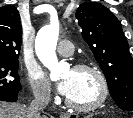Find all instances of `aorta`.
<instances>
[{
  "label": "aorta",
  "mask_w": 133,
  "mask_h": 118,
  "mask_svg": "<svg viewBox=\"0 0 133 118\" xmlns=\"http://www.w3.org/2000/svg\"><path fill=\"white\" fill-rule=\"evenodd\" d=\"M59 37V25L52 23L40 29L35 40V50L40 61L50 70V78H60L68 65L58 62L56 56V45Z\"/></svg>",
  "instance_id": "obj_1"
}]
</instances>
